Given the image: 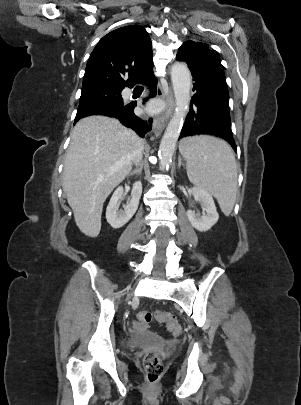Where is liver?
Wrapping results in <instances>:
<instances>
[{
	"mask_svg": "<svg viewBox=\"0 0 301 405\" xmlns=\"http://www.w3.org/2000/svg\"><path fill=\"white\" fill-rule=\"evenodd\" d=\"M139 139L114 118L90 116L76 123L64 161L62 187L85 235L100 233L103 204L129 175L132 150Z\"/></svg>",
	"mask_w": 301,
	"mask_h": 405,
	"instance_id": "obj_1",
	"label": "liver"
}]
</instances>
